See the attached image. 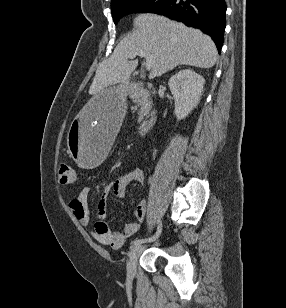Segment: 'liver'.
<instances>
[{
    "label": "liver",
    "mask_w": 286,
    "mask_h": 308,
    "mask_svg": "<svg viewBox=\"0 0 286 308\" xmlns=\"http://www.w3.org/2000/svg\"><path fill=\"white\" fill-rule=\"evenodd\" d=\"M135 30L125 37L112 55L102 61L90 86L89 94L97 97L107 87L126 85L138 65L128 55L145 51L155 56L150 77H159L177 65L211 68L217 60L212 39L201 31L186 27L166 17L143 14L134 20Z\"/></svg>",
    "instance_id": "liver-1"
}]
</instances>
